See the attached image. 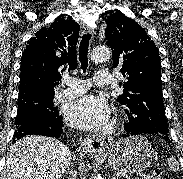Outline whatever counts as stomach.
Instances as JSON below:
<instances>
[{
  "label": "stomach",
  "mask_w": 183,
  "mask_h": 179,
  "mask_svg": "<svg viewBox=\"0 0 183 179\" xmlns=\"http://www.w3.org/2000/svg\"><path fill=\"white\" fill-rule=\"evenodd\" d=\"M103 156L114 171L135 173L145 170L151 164L154 151L145 137L134 135L121 139L104 150Z\"/></svg>",
  "instance_id": "1"
}]
</instances>
